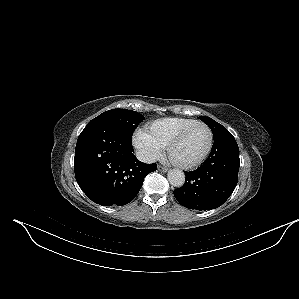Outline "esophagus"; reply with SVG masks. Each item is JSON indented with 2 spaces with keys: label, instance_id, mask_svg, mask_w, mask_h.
<instances>
[{
  "label": "esophagus",
  "instance_id": "34e87169",
  "mask_svg": "<svg viewBox=\"0 0 299 299\" xmlns=\"http://www.w3.org/2000/svg\"><path fill=\"white\" fill-rule=\"evenodd\" d=\"M158 170L161 171V172H167L168 169L166 167H163L161 165L158 166Z\"/></svg>",
  "mask_w": 299,
  "mask_h": 299
}]
</instances>
